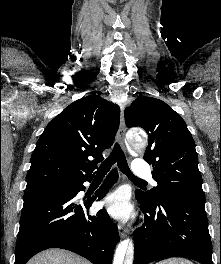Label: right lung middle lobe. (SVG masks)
<instances>
[{"instance_id":"right-lung-middle-lobe-1","label":"right lung middle lobe","mask_w":221,"mask_h":264,"mask_svg":"<svg viewBox=\"0 0 221 264\" xmlns=\"http://www.w3.org/2000/svg\"><path fill=\"white\" fill-rule=\"evenodd\" d=\"M76 185L77 184L75 182L50 183L36 188L27 189L24 191V196L29 194L42 193V192H53V193L71 192L76 187Z\"/></svg>"}]
</instances>
